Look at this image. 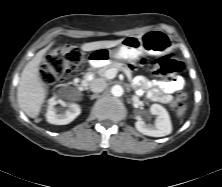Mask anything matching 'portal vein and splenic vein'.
I'll list each match as a JSON object with an SVG mask.
<instances>
[{"label":"portal vein and splenic vein","mask_w":222,"mask_h":187,"mask_svg":"<svg viewBox=\"0 0 222 187\" xmlns=\"http://www.w3.org/2000/svg\"><path fill=\"white\" fill-rule=\"evenodd\" d=\"M118 73V70L115 69V68H112V69H109L106 74H105V77L107 79H113L116 77V74Z\"/></svg>","instance_id":"portal-vein-and-splenic-vein-1"}]
</instances>
